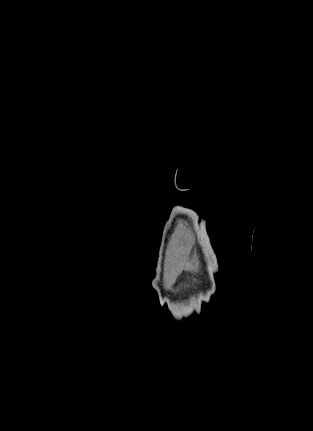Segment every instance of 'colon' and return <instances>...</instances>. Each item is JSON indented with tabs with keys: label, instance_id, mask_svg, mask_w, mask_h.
<instances>
[{
	"label": "colon",
	"instance_id": "1",
	"mask_svg": "<svg viewBox=\"0 0 313 431\" xmlns=\"http://www.w3.org/2000/svg\"><path fill=\"white\" fill-rule=\"evenodd\" d=\"M230 116H236L235 114H231Z\"/></svg>",
	"mask_w": 313,
	"mask_h": 431
}]
</instances>
